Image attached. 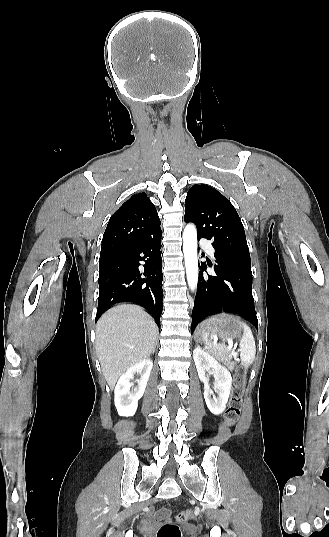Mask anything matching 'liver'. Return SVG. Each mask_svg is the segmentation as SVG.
<instances>
[{
  "instance_id": "liver-1",
  "label": "liver",
  "mask_w": 329,
  "mask_h": 537,
  "mask_svg": "<svg viewBox=\"0 0 329 537\" xmlns=\"http://www.w3.org/2000/svg\"><path fill=\"white\" fill-rule=\"evenodd\" d=\"M158 327L141 307L117 305L97 322L95 348L103 375L111 389L133 365L154 352Z\"/></svg>"
}]
</instances>
